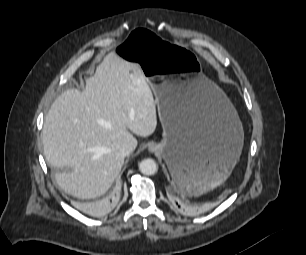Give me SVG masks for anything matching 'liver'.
Masks as SVG:
<instances>
[{"instance_id":"obj_1","label":"liver","mask_w":306,"mask_h":255,"mask_svg":"<svg viewBox=\"0 0 306 255\" xmlns=\"http://www.w3.org/2000/svg\"><path fill=\"white\" fill-rule=\"evenodd\" d=\"M156 127V102L140 66L110 53L84 91L68 89L51 105L42 131L44 154L61 170L55 179L63 191L95 198L118 176L122 145L136 148L133 134L148 137Z\"/></svg>"}]
</instances>
